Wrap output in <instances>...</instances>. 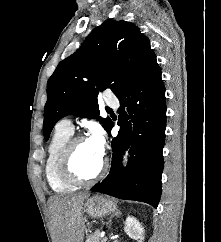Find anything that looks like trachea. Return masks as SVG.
Masks as SVG:
<instances>
[{"label": "trachea", "instance_id": "3493384b", "mask_svg": "<svg viewBox=\"0 0 221 242\" xmlns=\"http://www.w3.org/2000/svg\"><path fill=\"white\" fill-rule=\"evenodd\" d=\"M107 112H112V110L110 108H106Z\"/></svg>", "mask_w": 221, "mask_h": 242}]
</instances>
